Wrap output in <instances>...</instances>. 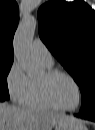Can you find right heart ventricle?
Returning a JSON list of instances; mask_svg holds the SVG:
<instances>
[{
  "label": "right heart ventricle",
  "mask_w": 95,
  "mask_h": 130,
  "mask_svg": "<svg viewBox=\"0 0 95 130\" xmlns=\"http://www.w3.org/2000/svg\"><path fill=\"white\" fill-rule=\"evenodd\" d=\"M46 66L48 69H51L52 65ZM24 104L29 108L54 109L42 97L38 80L35 79H31L30 89Z\"/></svg>",
  "instance_id": "1"
}]
</instances>
